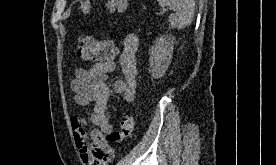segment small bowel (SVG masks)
<instances>
[{
  "instance_id": "1",
  "label": "small bowel",
  "mask_w": 276,
  "mask_h": 165,
  "mask_svg": "<svg viewBox=\"0 0 276 165\" xmlns=\"http://www.w3.org/2000/svg\"><path fill=\"white\" fill-rule=\"evenodd\" d=\"M138 47L139 40L135 34L124 37L118 59L123 79L114 81L112 85L113 91L128 103L136 98ZM115 69L116 63L112 59L98 62L89 68L77 69L70 82L75 103L83 107L92 106L91 122L95 128L90 132L91 142L84 130L85 120L80 115L70 118L74 141L85 165H106L113 157V150L105 141L106 135L113 130L108 114L110 89L106 81Z\"/></svg>"
}]
</instances>
